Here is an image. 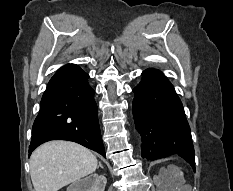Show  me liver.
<instances>
[{
    "instance_id": "liver-1",
    "label": "liver",
    "mask_w": 233,
    "mask_h": 191,
    "mask_svg": "<svg viewBox=\"0 0 233 191\" xmlns=\"http://www.w3.org/2000/svg\"><path fill=\"white\" fill-rule=\"evenodd\" d=\"M97 164L96 156L77 143L50 141L31 155V180L35 191H58L93 173Z\"/></svg>"
}]
</instances>
